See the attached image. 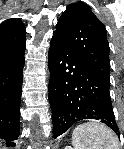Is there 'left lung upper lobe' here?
<instances>
[{
    "label": "left lung upper lobe",
    "mask_w": 124,
    "mask_h": 149,
    "mask_svg": "<svg viewBox=\"0 0 124 149\" xmlns=\"http://www.w3.org/2000/svg\"><path fill=\"white\" fill-rule=\"evenodd\" d=\"M57 33L94 71L109 81L110 60L104 24L82 2L67 6L56 26Z\"/></svg>",
    "instance_id": "5c2ea615"
}]
</instances>
